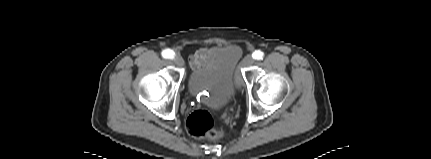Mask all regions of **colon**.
I'll return each mask as SVG.
<instances>
[{"label":"colon","mask_w":431,"mask_h":159,"mask_svg":"<svg viewBox=\"0 0 431 159\" xmlns=\"http://www.w3.org/2000/svg\"><path fill=\"white\" fill-rule=\"evenodd\" d=\"M186 128L196 138H217L222 135L220 130L215 129L213 117L205 109L193 111L187 118Z\"/></svg>","instance_id":"1"}]
</instances>
